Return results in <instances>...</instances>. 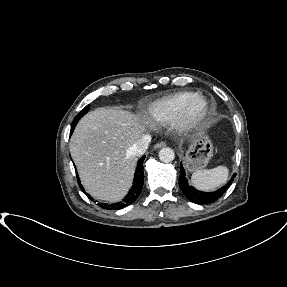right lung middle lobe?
I'll use <instances>...</instances> for the list:
<instances>
[{
  "mask_svg": "<svg viewBox=\"0 0 287 287\" xmlns=\"http://www.w3.org/2000/svg\"><path fill=\"white\" fill-rule=\"evenodd\" d=\"M88 110H89V105H87L79 114H77V115L75 116V118L73 119L71 128H75V126H76L78 120H79L83 115H85V114L88 112Z\"/></svg>",
  "mask_w": 287,
  "mask_h": 287,
  "instance_id": "obj_1",
  "label": "right lung middle lobe"
}]
</instances>
